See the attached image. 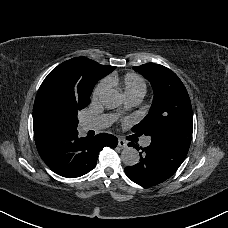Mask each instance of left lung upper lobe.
<instances>
[{
  "label": "left lung upper lobe",
  "mask_w": 228,
  "mask_h": 228,
  "mask_svg": "<svg viewBox=\"0 0 228 228\" xmlns=\"http://www.w3.org/2000/svg\"><path fill=\"white\" fill-rule=\"evenodd\" d=\"M133 69L150 81L154 91L149 113L132 128L136 137L145 134L190 145L193 114L190 98L182 81L170 69L154 63Z\"/></svg>",
  "instance_id": "1"
}]
</instances>
